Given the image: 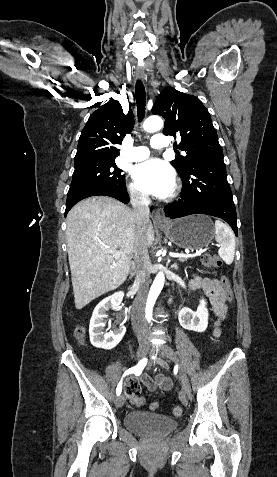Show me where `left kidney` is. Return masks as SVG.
<instances>
[{"mask_svg": "<svg viewBox=\"0 0 277 477\" xmlns=\"http://www.w3.org/2000/svg\"><path fill=\"white\" fill-rule=\"evenodd\" d=\"M206 301L200 300V304L196 313H193L189 308L184 307L180 310L178 319L180 325L187 329L196 332H204L208 326V310L206 308Z\"/></svg>", "mask_w": 277, "mask_h": 477, "instance_id": "obj_1", "label": "left kidney"}]
</instances>
